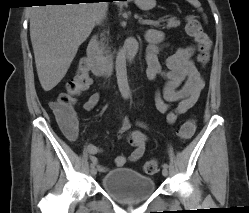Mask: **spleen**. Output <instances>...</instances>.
I'll return each mask as SVG.
<instances>
[{
    "label": "spleen",
    "mask_w": 249,
    "mask_h": 213,
    "mask_svg": "<svg viewBox=\"0 0 249 213\" xmlns=\"http://www.w3.org/2000/svg\"><path fill=\"white\" fill-rule=\"evenodd\" d=\"M186 1H188L193 6L197 7L200 11H202V9L200 8L201 4L198 0H186Z\"/></svg>",
    "instance_id": "1"
}]
</instances>
